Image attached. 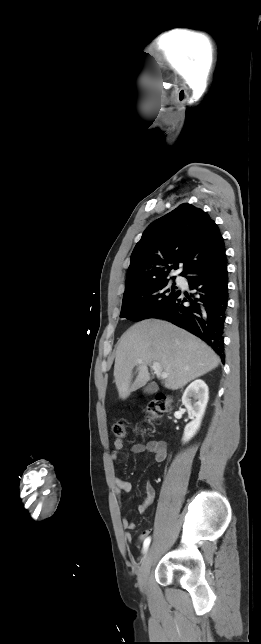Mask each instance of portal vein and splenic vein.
I'll return each instance as SVG.
<instances>
[{
	"label": "portal vein and splenic vein",
	"instance_id": "obj_1",
	"mask_svg": "<svg viewBox=\"0 0 261 644\" xmlns=\"http://www.w3.org/2000/svg\"><path fill=\"white\" fill-rule=\"evenodd\" d=\"M138 363H139V364H141V363H142V361H141V360H139V361H138ZM152 369L154 370V373L156 374V376H157L158 378H163V379H164V378H167V377H168V374H167V373L162 372V369H161V365H160V363H158V362H153V364H152Z\"/></svg>",
	"mask_w": 261,
	"mask_h": 644
}]
</instances>
